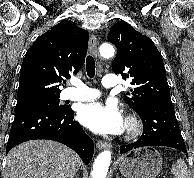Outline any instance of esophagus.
<instances>
[{
  "instance_id": "34e87169",
  "label": "esophagus",
  "mask_w": 194,
  "mask_h": 178,
  "mask_svg": "<svg viewBox=\"0 0 194 178\" xmlns=\"http://www.w3.org/2000/svg\"><path fill=\"white\" fill-rule=\"evenodd\" d=\"M89 51L94 56H97V38L94 34H91L89 38ZM96 146L100 150L111 148V144L106 141H98Z\"/></svg>"
}]
</instances>
